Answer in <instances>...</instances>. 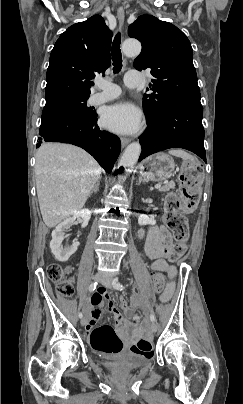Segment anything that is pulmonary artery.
I'll use <instances>...</instances> for the list:
<instances>
[{"label":"pulmonary artery","mask_w":243,"mask_h":404,"mask_svg":"<svg viewBox=\"0 0 243 404\" xmlns=\"http://www.w3.org/2000/svg\"><path fill=\"white\" fill-rule=\"evenodd\" d=\"M123 82L127 87L134 88L141 85L137 77L125 74ZM97 91L91 96V103L98 105L119 96L120 87L102 77H97L94 80Z\"/></svg>","instance_id":"1"}]
</instances>
